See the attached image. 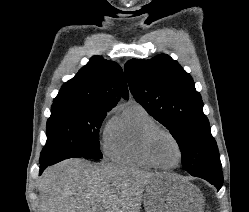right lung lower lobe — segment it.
<instances>
[{"label":"right lung lower lobe","instance_id":"98d812e1","mask_svg":"<svg viewBox=\"0 0 249 212\" xmlns=\"http://www.w3.org/2000/svg\"><path fill=\"white\" fill-rule=\"evenodd\" d=\"M55 163H57L56 160H54V161H44V162H40V173H39V174H41V173L43 172V170H44L46 167H48V166H50V165H53V164H55Z\"/></svg>","mask_w":249,"mask_h":212}]
</instances>
